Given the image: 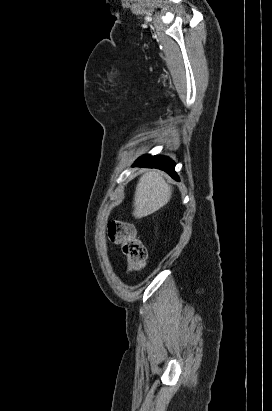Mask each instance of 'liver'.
<instances>
[{"instance_id":"1","label":"liver","mask_w":272,"mask_h":411,"mask_svg":"<svg viewBox=\"0 0 272 411\" xmlns=\"http://www.w3.org/2000/svg\"><path fill=\"white\" fill-rule=\"evenodd\" d=\"M172 196V186L158 170L144 173L136 186L133 216L140 219L164 206Z\"/></svg>"}]
</instances>
